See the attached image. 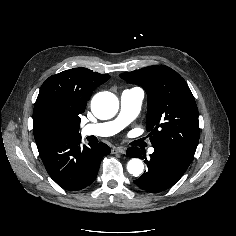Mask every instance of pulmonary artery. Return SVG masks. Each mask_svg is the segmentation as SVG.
I'll return each instance as SVG.
<instances>
[{
  "mask_svg": "<svg viewBox=\"0 0 236 236\" xmlns=\"http://www.w3.org/2000/svg\"><path fill=\"white\" fill-rule=\"evenodd\" d=\"M143 99L144 91L140 88L124 90L120 97L119 115L111 121L88 124L82 127V135L107 137L118 133L136 118L141 109ZM148 151L152 154L154 148H150Z\"/></svg>",
  "mask_w": 236,
  "mask_h": 236,
  "instance_id": "e3ab8cb5",
  "label": "pulmonary artery"
}]
</instances>
